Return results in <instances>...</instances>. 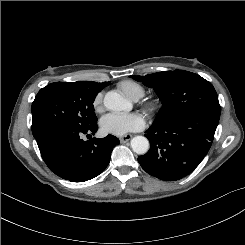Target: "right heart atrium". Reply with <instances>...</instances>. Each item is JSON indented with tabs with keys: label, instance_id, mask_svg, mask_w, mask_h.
<instances>
[{
	"label": "right heart atrium",
	"instance_id": "1",
	"mask_svg": "<svg viewBox=\"0 0 245 245\" xmlns=\"http://www.w3.org/2000/svg\"><path fill=\"white\" fill-rule=\"evenodd\" d=\"M102 101H103V95L102 93H98L92 102L93 109L96 112H101L102 111Z\"/></svg>",
	"mask_w": 245,
	"mask_h": 245
}]
</instances>
